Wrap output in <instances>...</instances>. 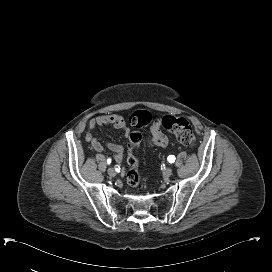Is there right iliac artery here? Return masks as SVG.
<instances>
[{
    "label": "right iliac artery",
    "mask_w": 272,
    "mask_h": 272,
    "mask_svg": "<svg viewBox=\"0 0 272 272\" xmlns=\"http://www.w3.org/2000/svg\"><path fill=\"white\" fill-rule=\"evenodd\" d=\"M107 162H108V164H110V162H111V159H108V160H107Z\"/></svg>",
    "instance_id": "82829eb1"
}]
</instances>
